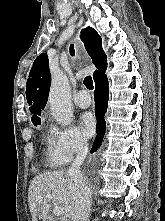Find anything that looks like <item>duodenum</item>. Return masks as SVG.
<instances>
[{"instance_id": "duodenum-1", "label": "duodenum", "mask_w": 165, "mask_h": 221, "mask_svg": "<svg viewBox=\"0 0 165 221\" xmlns=\"http://www.w3.org/2000/svg\"><path fill=\"white\" fill-rule=\"evenodd\" d=\"M44 221H53L50 217L44 219Z\"/></svg>"}]
</instances>
